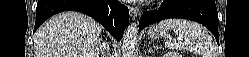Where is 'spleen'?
Instances as JSON below:
<instances>
[{
    "instance_id": "3e777b00",
    "label": "spleen",
    "mask_w": 249,
    "mask_h": 57,
    "mask_svg": "<svg viewBox=\"0 0 249 57\" xmlns=\"http://www.w3.org/2000/svg\"><path fill=\"white\" fill-rule=\"evenodd\" d=\"M159 27L171 28L177 38L168 42L172 49H187L202 57H214L215 45L207 30L200 24L178 18L162 20Z\"/></svg>"
}]
</instances>
